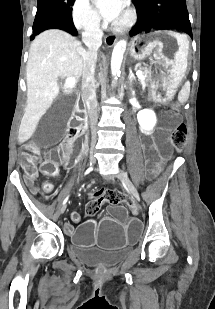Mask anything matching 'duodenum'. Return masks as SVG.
<instances>
[{
	"label": "duodenum",
	"mask_w": 215,
	"mask_h": 309,
	"mask_svg": "<svg viewBox=\"0 0 215 309\" xmlns=\"http://www.w3.org/2000/svg\"><path fill=\"white\" fill-rule=\"evenodd\" d=\"M72 134L73 135H79L80 134V128L77 125L73 126Z\"/></svg>",
	"instance_id": "obj_1"
}]
</instances>
